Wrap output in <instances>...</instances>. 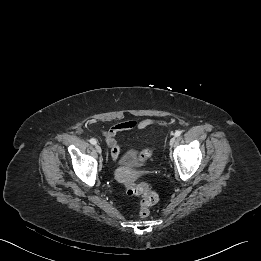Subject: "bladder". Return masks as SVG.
Segmentation results:
<instances>
[{
    "instance_id": "1",
    "label": "bladder",
    "mask_w": 261,
    "mask_h": 261,
    "mask_svg": "<svg viewBox=\"0 0 261 261\" xmlns=\"http://www.w3.org/2000/svg\"><path fill=\"white\" fill-rule=\"evenodd\" d=\"M119 164L121 167H128L132 168L137 165V160L135 157V152L134 150H129L125 152L119 160Z\"/></svg>"
}]
</instances>
